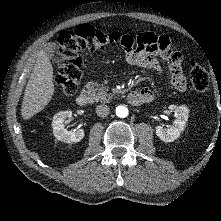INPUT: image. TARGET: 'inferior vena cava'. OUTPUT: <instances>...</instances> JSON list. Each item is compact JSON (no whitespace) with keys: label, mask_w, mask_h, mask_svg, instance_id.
Returning a JSON list of instances; mask_svg holds the SVG:
<instances>
[{"label":"inferior vena cava","mask_w":221,"mask_h":221,"mask_svg":"<svg viewBox=\"0 0 221 221\" xmlns=\"http://www.w3.org/2000/svg\"><path fill=\"white\" fill-rule=\"evenodd\" d=\"M110 108L107 105H98L96 113L100 117H106L109 114Z\"/></svg>","instance_id":"inferior-vena-cava-1"}]
</instances>
